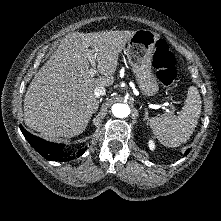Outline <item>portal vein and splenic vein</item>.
I'll return each instance as SVG.
<instances>
[{
  "instance_id": "18ae733b",
  "label": "portal vein and splenic vein",
  "mask_w": 221,
  "mask_h": 221,
  "mask_svg": "<svg viewBox=\"0 0 221 221\" xmlns=\"http://www.w3.org/2000/svg\"><path fill=\"white\" fill-rule=\"evenodd\" d=\"M92 50H89L88 53H87V58L88 60L90 61L91 63V68L89 70V74L91 77H94L95 74L97 73L96 71V62H95V56L92 54Z\"/></svg>"
}]
</instances>
